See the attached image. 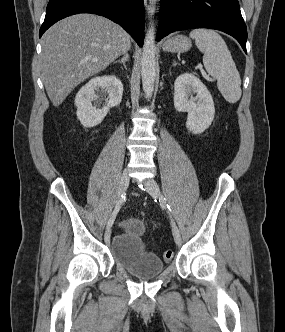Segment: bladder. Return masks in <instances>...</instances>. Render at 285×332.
<instances>
[{"mask_svg": "<svg viewBox=\"0 0 285 332\" xmlns=\"http://www.w3.org/2000/svg\"><path fill=\"white\" fill-rule=\"evenodd\" d=\"M145 227L136 218L127 219L122 230L116 234L110 243L115 262L142 279L159 275L163 269V262L154 254L149 253L143 242Z\"/></svg>", "mask_w": 285, "mask_h": 332, "instance_id": "obj_1", "label": "bladder"}]
</instances>
